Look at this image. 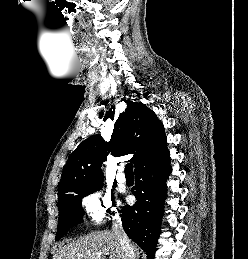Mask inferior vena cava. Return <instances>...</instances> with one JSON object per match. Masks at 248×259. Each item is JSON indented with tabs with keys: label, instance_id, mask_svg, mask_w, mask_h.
Here are the masks:
<instances>
[{
	"label": "inferior vena cava",
	"instance_id": "602c4592",
	"mask_svg": "<svg viewBox=\"0 0 248 259\" xmlns=\"http://www.w3.org/2000/svg\"><path fill=\"white\" fill-rule=\"evenodd\" d=\"M112 230L118 237L119 242L124 251V259H136L132 244L130 243L124 229L122 226L121 218L116 216L114 218Z\"/></svg>",
	"mask_w": 248,
	"mask_h": 259
}]
</instances>
